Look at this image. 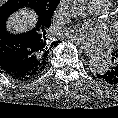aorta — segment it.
<instances>
[{
    "label": "aorta",
    "mask_w": 118,
    "mask_h": 118,
    "mask_svg": "<svg viewBox=\"0 0 118 118\" xmlns=\"http://www.w3.org/2000/svg\"><path fill=\"white\" fill-rule=\"evenodd\" d=\"M63 10L71 18H82L86 14L85 0H64ZM90 70L93 73H103L107 69L105 60L97 57L89 61Z\"/></svg>",
    "instance_id": "762f6f07"
}]
</instances>
